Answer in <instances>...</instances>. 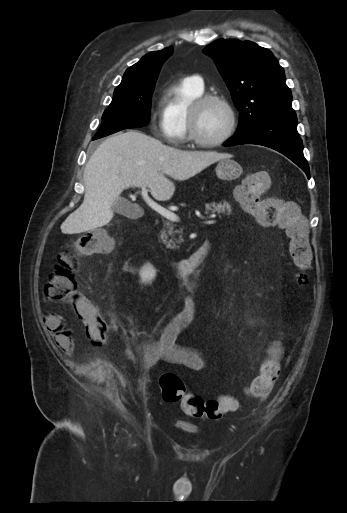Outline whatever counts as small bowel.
<instances>
[{"label":"small bowel","mask_w":347,"mask_h":513,"mask_svg":"<svg viewBox=\"0 0 347 513\" xmlns=\"http://www.w3.org/2000/svg\"><path fill=\"white\" fill-rule=\"evenodd\" d=\"M183 309L174 317L161 332L158 340L147 339L140 343L137 351H127L130 358L139 354L144 365L151 367L161 361L184 366L193 371L205 368V359L195 349L177 344V338L187 328L195 315V302L189 294L182 298ZM45 325L52 332L59 350L66 354L74 352V341L71 331L66 329L60 316H46Z\"/></svg>","instance_id":"c3829d8e"}]
</instances>
